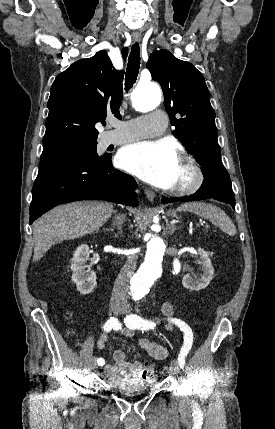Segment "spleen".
<instances>
[{"instance_id": "spleen-1", "label": "spleen", "mask_w": 275, "mask_h": 429, "mask_svg": "<svg viewBox=\"0 0 275 429\" xmlns=\"http://www.w3.org/2000/svg\"><path fill=\"white\" fill-rule=\"evenodd\" d=\"M177 210L194 213L204 219H208L229 236L236 235V227L232 220L222 209L213 204L203 202L185 203L179 206Z\"/></svg>"}]
</instances>
